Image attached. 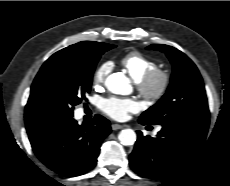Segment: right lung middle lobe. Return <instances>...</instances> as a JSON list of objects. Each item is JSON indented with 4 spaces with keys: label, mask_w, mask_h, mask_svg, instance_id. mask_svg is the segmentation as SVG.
<instances>
[{
    "label": "right lung middle lobe",
    "mask_w": 230,
    "mask_h": 186,
    "mask_svg": "<svg viewBox=\"0 0 230 186\" xmlns=\"http://www.w3.org/2000/svg\"><path fill=\"white\" fill-rule=\"evenodd\" d=\"M107 43H93L83 52L60 50L41 67L31 92L45 118H69L74 106L87 100L94 69L101 55L114 48Z\"/></svg>",
    "instance_id": "1"
}]
</instances>
